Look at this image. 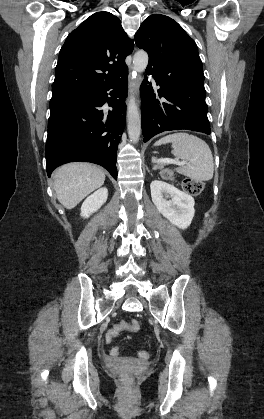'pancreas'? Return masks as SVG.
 Segmentation results:
<instances>
[{"label": "pancreas", "instance_id": "pancreas-1", "mask_svg": "<svg viewBox=\"0 0 264 419\" xmlns=\"http://www.w3.org/2000/svg\"><path fill=\"white\" fill-rule=\"evenodd\" d=\"M163 167V165H158L156 168H162Z\"/></svg>", "mask_w": 264, "mask_h": 419}]
</instances>
